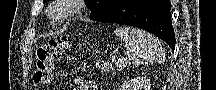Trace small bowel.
Returning a JSON list of instances; mask_svg holds the SVG:
<instances>
[{
  "mask_svg": "<svg viewBox=\"0 0 216 90\" xmlns=\"http://www.w3.org/2000/svg\"><path fill=\"white\" fill-rule=\"evenodd\" d=\"M76 85H77L76 90H96L97 89L95 82L91 80H85L80 77L76 79Z\"/></svg>",
  "mask_w": 216,
  "mask_h": 90,
  "instance_id": "small-bowel-1",
  "label": "small bowel"
}]
</instances>
